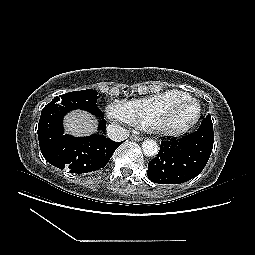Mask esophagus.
<instances>
[{"label": "esophagus", "instance_id": "1", "mask_svg": "<svg viewBox=\"0 0 255 255\" xmlns=\"http://www.w3.org/2000/svg\"><path fill=\"white\" fill-rule=\"evenodd\" d=\"M130 139L132 141H142L143 140V137H140V136H137V135H131L130 136Z\"/></svg>", "mask_w": 255, "mask_h": 255}]
</instances>
